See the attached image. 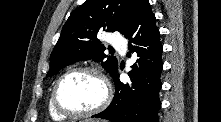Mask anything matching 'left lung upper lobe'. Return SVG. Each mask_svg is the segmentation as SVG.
Instances as JSON below:
<instances>
[{"label": "left lung upper lobe", "instance_id": "obj_1", "mask_svg": "<svg viewBox=\"0 0 221 122\" xmlns=\"http://www.w3.org/2000/svg\"><path fill=\"white\" fill-rule=\"evenodd\" d=\"M138 0H86L69 16L50 56L47 76L77 61L93 59L113 77L118 70L116 57L104 54L97 39L101 31L125 34L130 26Z\"/></svg>", "mask_w": 221, "mask_h": 122}]
</instances>
